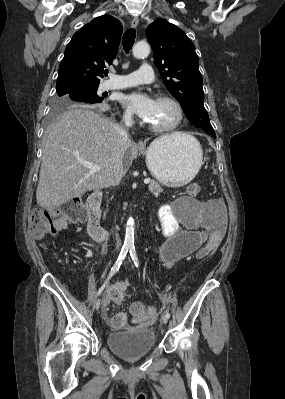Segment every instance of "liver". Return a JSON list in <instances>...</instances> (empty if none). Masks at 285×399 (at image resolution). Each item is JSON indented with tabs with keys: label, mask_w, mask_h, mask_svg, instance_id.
<instances>
[{
	"label": "liver",
	"mask_w": 285,
	"mask_h": 399,
	"mask_svg": "<svg viewBox=\"0 0 285 399\" xmlns=\"http://www.w3.org/2000/svg\"><path fill=\"white\" fill-rule=\"evenodd\" d=\"M121 130L91 110L65 112L48 132L36 191L38 205L52 209L88 191L113 185L118 167L122 174L129 169L134 150L129 138L122 145ZM183 135L187 134L176 132L163 138ZM83 163L101 169L91 172Z\"/></svg>",
	"instance_id": "obj_1"
}]
</instances>
